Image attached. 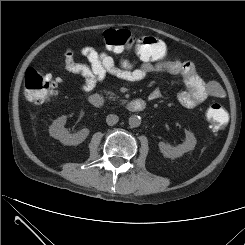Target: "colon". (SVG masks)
Returning <instances> with one entry per match:
<instances>
[{"instance_id":"obj_1","label":"colon","mask_w":245,"mask_h":245,"mask_svg":"<svg viewBox=\"0 0 245 245\" xmlns=\"http://www.w3.org/2000/svg\"><path fill=\"white\" fill-rule=\"evenodd\" d=\"M103 40L106 46L116 52L134 50L143 62H160L165 59L168 52L166 45L160 39L153 36L134 35L127 29L107 30L103 35ZM24 83L28 100L36 104H44L56 91L59 79L30 67L26 70ZM227 118V111L222 104L213 102L208 106L206 119L214 133L224 128Z\"/></svg>"}]
</instances>
